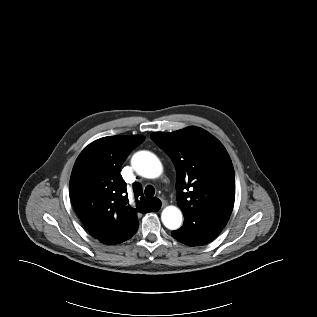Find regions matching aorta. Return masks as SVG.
Segmentation results:
<instances>
[{
	"mask_svg": "<svg viewBox=\"0 0 317 317\" xmlns=\"http://www.w3.org/2000/svg\"><path fill=\"white\" fill-rule=\"evenodd\" d=\"M133 169L145 178H157L161 174V162L156 155L149 151H139L131 160ZM164 226L170 230H176L182 223V213L175 206H167L161 214Z\"/></svg>",
	"mask_w": 317,
	"mask_h": 317,
	"instance_id": "762f6f07",
	"label": "aorta"
}]
</instances>
